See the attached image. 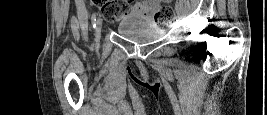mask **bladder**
<instances>
[{"mask_svg": "<svg viewBox=\"0 0 267 115\" xmlns=\"http://www.w3.org/2000/svg\"><path fill=\"white\" fill-rule=\"evenodd\" d=\"M117 33L128 40L141 42L159 39L165 32L154 24L123 23L117 27Z\"/></svg>", "mask_w": 267, "mask_h": 115, "instance_id": "1", "label": "bladder"}]
</instances>
